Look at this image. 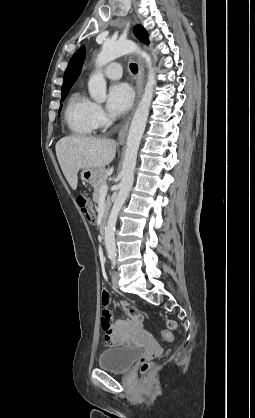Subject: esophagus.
Wrapping results in <instances>:
<instances>
[{"instance_id": "esophagus-1", "label": "esophagus", "mask_w": 255, "mask_h": 418, "mask_svg": "<svg viewBox=\"0 0 255 418\" xmlns=\"http://www.w3.org/2000/svg\"><path fill=\"white\" fill-rule=\"evenodd\" d=\"M138 65H139V71H138V75H137V79H136V102L134 105V108L132 109L131 113L129 114L128 118L126 119L125 123L123 124V126L121 127L119 134H118V142L120 144L125 143L126 141V137H127V133H128V129L130 126V122L132 119V116L134 114V111L136 109V106L139 102L142 90H143V86H144V64L141 58H138Z\"/></svg>"}]
</instances>
